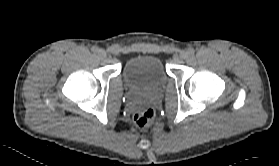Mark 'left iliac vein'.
I'll list each match as a JSON object with an SVG mask.
<instances>
[{
  "instance_id": "left-iliac-vein-1",
  "label": "left iliac vein",
  "mask_w": 279,
  "mask_h": 166,
  "mask_svg": "<svg viewBox=\"0 0 279 166\" xmlns=\"http://www.w3.org/2000/svg\"><path fill=\"white\" fill-rule=\"evenodd\" d=\"M188 55H189V53L187 51L183 50L180 52L179 56L181 59H186L188 57Z\"/></svg>"
}]
</instances>
